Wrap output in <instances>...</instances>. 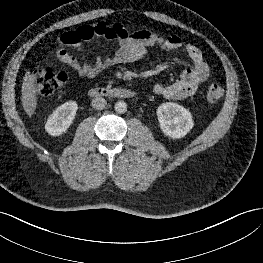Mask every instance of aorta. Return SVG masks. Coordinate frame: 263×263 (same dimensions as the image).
<instances>
[{
  "label": "aorta",
  "instance_id": "1",
  "mask_svg": "<svg viewBox=\"0 0 263 263\" xmlns=\"http://www.w3.org/2000/svg\"><path fill=\"white\" fill-rule=\"evenodd\" d=\"M114 109L118 114H124L127 111V103L124 101H118L115 103Z\"/></svg>",
  "mask_w": 263,
  "mask_h": 263
}]
</instances>
